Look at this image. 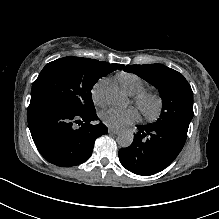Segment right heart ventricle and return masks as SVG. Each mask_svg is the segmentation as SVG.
I'll return each instance as SVG.
<instances>
[{
    "mask_svg": "<svg viewBox=\"0 0 219 219\" xmlns=\"http://www.w3.org/2000/svg\"><path fill=\"white\" fill-rule=\"evenodd\" d=\"M116 78L121 88L130 95H135L146 86L142 77L135 73L120 72Z\"/></svg>",
    "mask_w": 219,
    "mask_h": 219,
    "instance_id": "right-heart-ventricle-1",
    "label": "right heart ventricle"
}]
</instances>
